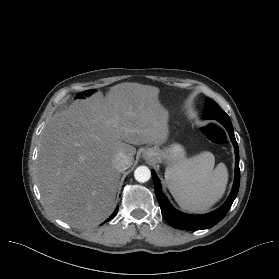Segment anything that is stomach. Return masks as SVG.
I'll return each mask as SVG.
<instances>
[{
	"label": "stomach",
	"mask_w": 279,
	"mask_h": 279,
	"mask_svg": "<svg viewBox=\"0 0 279 279\" xmlns=\"http://www.w3.org/2000/svg\"><path fill=\"white\" fill-rule=\"evenodd\" d=\"M153 152L158 161H166L169 166L179 163L185 159V150L179 144H172L165 149H160L158 146L147 148L144 151V158L149 157V153Z\"/></svg>",
	"instance_id": "obj_1"
}]
</instances>
